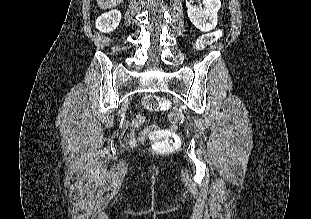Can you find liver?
I'll return each instance as SVG.
<instances>
[{
  "label": "liver",
  "mask_w": 311,
  "mask_h": 219,
  "mask_svg": "<svg viewBox=\"0 0 311 219\" xmlns=\"http://www.w3.org/2000/svg\"><path fill=\"white\" fill-rule=\"evenodd\" d=\"M97 4L102 9H111L119 5L123 0H96Z\"/></svg>",
  "instance_id": "obj_1"
}]
</instances>
